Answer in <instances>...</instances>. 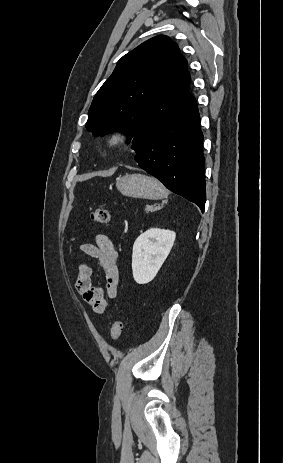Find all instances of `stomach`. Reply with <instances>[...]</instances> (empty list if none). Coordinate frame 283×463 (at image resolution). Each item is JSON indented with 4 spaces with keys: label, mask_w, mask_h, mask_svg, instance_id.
<instances>
[{
    "label": "stomach",
    "mask_w": 283,
    "mask_h": 463,
    "mask_svg": "<svg viewBox=\"0 0 283 463\" xmlns=\"http://www.w3.org/2000/svg\"><path fill=\"white\" fill-rule=\"evenodd\" d=\"M116 187L127 197L142 199H159L164 196V186L155 178L142 174H126L119 177Z\"/></svg>",
    "instance_id": "obj_1"
}]
</instances>
